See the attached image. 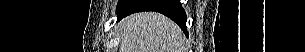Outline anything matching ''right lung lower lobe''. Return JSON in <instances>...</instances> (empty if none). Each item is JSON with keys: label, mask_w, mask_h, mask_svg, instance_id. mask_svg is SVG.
<instances>
[{"label": "right lung lower lobe", "mask_w": 305, "mask_h": 52, "mask_svg": "<svg viewBox=\"0 0 305 52\" xmlns=\"http://www.w3.org/2000/svg\"><path fill=\"white\" fill-rule=\"evenodd\" d=\"M140 11H156L162 13L176 22L185 34L188 35L186 13L179 0H119L116 9L118 20Z\"/></svg>", "instance_id": "98d812e1"}]
</instances>
